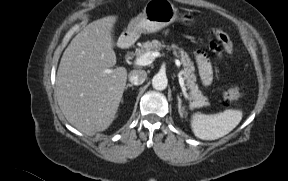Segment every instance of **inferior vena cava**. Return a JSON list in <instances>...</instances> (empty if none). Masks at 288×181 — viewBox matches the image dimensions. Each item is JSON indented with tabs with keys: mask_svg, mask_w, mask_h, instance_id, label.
I'll return each instance as SVG.
<instances>
[{
	"mask_svg": "<svg viewBox=\"0 0 288 181\" xmlns=\"http://www.w3.org/2000/svg\"><path fill=\"white\" fill-rule=\"evenodd\" d=\"M147 78L144 70H133L129 73V81L134 85H141Z\"/></svg>",
	"mask_w": 288,
	"mask_h": 181,
	"instance_id": "obj_1",
	"label": "inferior vena cava"
}]
</instances>
